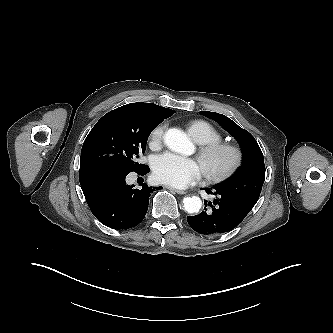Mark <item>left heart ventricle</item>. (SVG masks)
I'll return each instance as SVG.
<instances>
[{
	"mask_svg": "<svg viewBox=\"0 0 333 333\" xmlns=\"http://www.w3.org/2000/svg\"><path fill=\"white\" fill-rule=\"evenodd\" d=\"M229 161L230 155L227 153H221L209 161L208 168L213 171H219L225 168Z\"/></svg>",
	"mask_w": 333,
	"mask_h": 333,
	"instance_id": "obj_1",
	"label": "left heart ventricle"
}]
</instances>
